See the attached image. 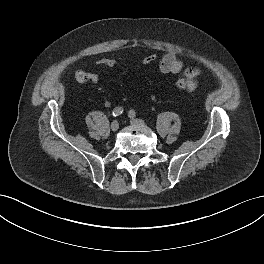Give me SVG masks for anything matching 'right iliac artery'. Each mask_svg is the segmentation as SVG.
<instances>
[{"label":"right iliac artery","instance_id":"right-iliac-artery-1","mask_svg":"<svg viewBox=\"0 0 264 264\" xmlns=\"http://www.w3.org/2000/svg\"><path fill=\"white\" fill-rule=\"evenodd\" d=\"M123 113V108L122 107H116L113 112H112V115L114 117H117L119 115H121Z\"/></svg>","mask_w":264,"mask_h":264}]
</instances>
